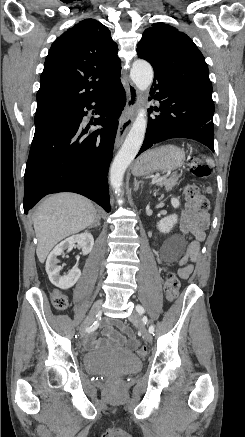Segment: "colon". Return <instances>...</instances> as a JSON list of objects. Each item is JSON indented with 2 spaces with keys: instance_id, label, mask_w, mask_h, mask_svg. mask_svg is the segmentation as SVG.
Returning <instances> with one entry per match:
<instances>
[{
  "instance_id": "colon-1",
  "label": "colon",
  "mask_w": 245,
  "mask_h": 437,
  "mask_svg": "<svg viewBox=\"0 0 245 437\" xmlns=\"http://www.w3.org/2000/svg\"><path fill=\"white\" fill-rule=\"evenodd\" d=\"M191 172L199 178H206L210 175L209 166L204 163L200 158L194 156L191 159ZM187 200L195 205V207L201 211L206 212L210 208V201L199 191V188L195 184H188L184 189ZM180 290V281L175 274H169L164 282V291L168 301H173L178 296ZM51 301L53 306L57 310H65L68 306L67 297L59 291H54L51 294ZM139 356H146L147 348L141 346L137 349Z\"/></svg>"
}]
</instances>
